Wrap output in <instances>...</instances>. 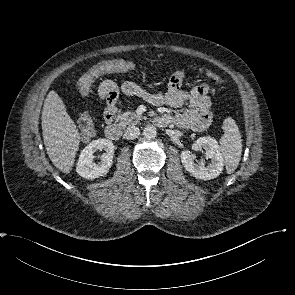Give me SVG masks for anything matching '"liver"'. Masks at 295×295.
<instances>
[{"instance_id":"6515ba94","label":"liver","mask_w":295,"mask_h":295,"mask_svg":"<svg viewBox=\"0 0 295 295\" xmlns=\"http://www.w3.org/2000/svg\"><path fill=\"white\" fill-rule=\"evenodd\" d=\"M42 133L47 154L56 168L69 173L79 149L80 134L59 95L50 91L42 110Z\"/></svg>"}]
</instances>
